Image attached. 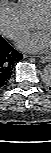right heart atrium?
I'll list each match as a JSON object with an SVG mask.
<instances>
[{
	"label": "right heart atrium",
	"mask_w": 51,
	"mask_h": 153,
	"mask_svg": "<svg viewBox=\"0 0 51 153\" xmlns=\"http://www.w3.org/2000/svg\"><path fill=\"white\" fill-rule=\"evenodd\" d=\"M33 27L17 4L0 3V31L8 39L17 40Z\"/></svg>",
	"instance_id": "1"
}]
</instances>
